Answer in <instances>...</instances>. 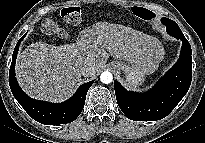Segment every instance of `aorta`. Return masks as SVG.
<instances>
[{
    "instance_id": "obj_1",
    "label": "aorta",
    "mask_w": 205,
    "mask_h": 143,
    "mask_svg": "<svg viewBox=\"0 0 205 143\" xmlns=\"http://www.w3.org/2000/svg\"><path fill=\"white\" fill-rule=\"evenodd\" d=\"M100 80H101L102 83L109 84L113 80V75L109 71H104L100 75Z\"/></svg>"
}]
</instances>
